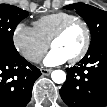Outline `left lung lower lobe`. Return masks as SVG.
I'll return each mask as SVG.
<instances>
[{
  "mask_svg": "<svg viewBox=\"0 0 107 107\" xmlns=\"http://www.w3.org/2000/svg\"><path fill=\"white\" fill-rule=\"evenodd\" d=\"M60 95L69 107L107 106V41L90 48L76 66L67 68Z\"/></svg>",
  "mask_w": 107,
  "mask_h": 107,
  "instance_id": "0a47b994",
  "label": "left lung lower lobe"
}]
</instances>
